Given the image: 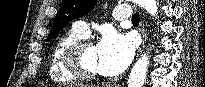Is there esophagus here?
<instances>
[{
	"label": "esophagus",
	"mask_w": 205,
	"mask_h": 87,
	"mask_svg": "<svg viewBox=\"0 0 205 87\" xmlns=\"http://www.w3.org/2000/svg\"><path fill=\"white\" fill-rule=\"evenodd\" d=\"M140 33L142 36V44L139 48L138 55L141 53L142 49L145 46L146 40H147V33H146L145 26H144L143 22H141V25H140Z\"/></svg>",
	"instance_id": "34e87169"
}]
</instances>
